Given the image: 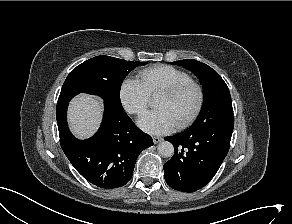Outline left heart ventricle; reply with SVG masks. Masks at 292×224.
<instances>
[{
	"instance_id": "obj_1",
	"label": "left heart ventricle",
	"mask_w": 292,
	"mask_h": 224,
	"mask_svg": "<svg viewBox=\"0 0 292 224\" xmlns=\"http://www.w3.org/2000/svg\"><path fill=\"white\" fill-rule=\"evenodd\" d=\"M196 102V91L194 89H188L174 98L158 96L155 99L154 105L157 109L166 110L177 125L192 112Z\"/></svg>"
}]
</instances>
